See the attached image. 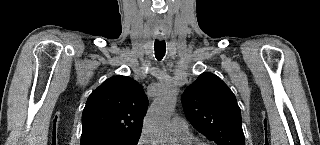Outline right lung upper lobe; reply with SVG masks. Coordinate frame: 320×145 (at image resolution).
Instances as JSON below:
<instances>
[{
    "mask_svg": "<svg viewBox=\"0 0 320 145\" xmlns=\"http://www.w3.org/2000/svg\"><path fill=\"white\" fill-rule=\"evenodd\" d=\"M148 99L142 86L127 76L104 81L89 96L82 114V136L141 134Z\"/></svg>",
    "mask_w": 320,
    "mask_h": 145,
    "instance_id": "right-lung-upper-lobe-1",
    "label": "right lung upper lobe"
}]
</instances>
